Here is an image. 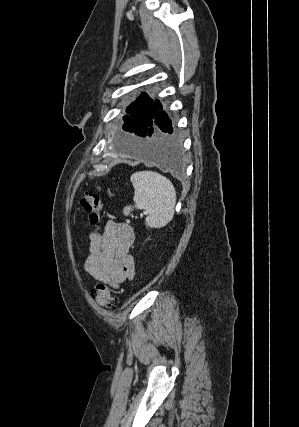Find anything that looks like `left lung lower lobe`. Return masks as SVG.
<instances>
[{"label": "left lung lower lobe", "mask_w": 299, "mask_h": 427, "mask_svg": "<svg viewBox=\"0 0 299 427\" xmlns=\"http://www.w3.org/2000/svg\"><path fill=\"white\" fill-rule=\"evenodd\" d=\"M159 108L137 151L143 159L179 172L183 169L181 144L173 132L171 120L162 111L163 107Z\"/></svg>", "instance_id": "obj_1"}]
</instances>
